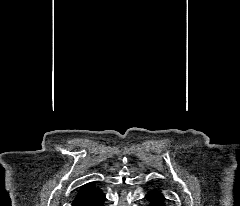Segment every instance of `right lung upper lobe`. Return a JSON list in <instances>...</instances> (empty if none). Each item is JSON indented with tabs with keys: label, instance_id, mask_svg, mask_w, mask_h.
Instances as JSON below:
<instances>
[{
	"label": "right lung upper lobe",
	"instance_id": "1",
	"mask_svg": "<svg viewBox=\"0 0 240 206\" xmlns=\"http://www.w3.org/2000/svg\"><path fill=\"white\" fill-rule=\"evenodd\" d=\"M96 186L93 184V183H88V184H85L80 190L79 192L77 193L76 197H81L83 195H86L88 194L89 192H91L93 189H95Z\"/></svg>",
	"mask_w": 240,
	"mask_h": 206
}]
</instances>
